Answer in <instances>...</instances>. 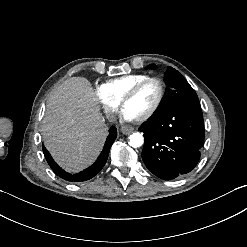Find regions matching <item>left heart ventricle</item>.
<instances>
[{
	"mask_svg": "<svg viewBox=\"0 0 247 247\" xmlns=\"http://www.w3.org/2000/svg\"><path fill=\"white\" fill-rule=\"evenodd\" d=\"M159 97V86L155 82L144 84L133 100L124 108L132 111L137 118H141L153 109Z\"/></svg>",
	"mask_w": 247,
	"mask_h": 247,
	"instance_id": "left-heart-ventricle-1",
	"label": "left heart ventricle"
}]
</instances>
